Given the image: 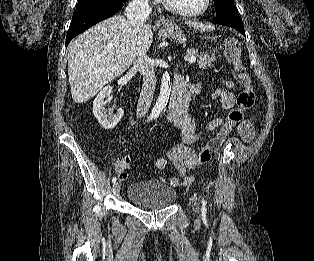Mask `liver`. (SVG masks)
<instances>
[{
    "label": "liver",
    "mask_w": 314,
    "mask_h": 261,
    "mask_svg": "<svg viewBox=\"0 0 314 261\" xmlns=\"http://www.w3.org/2000/svg\"><path fill=\"white\" fill-rule=\"evenodd\" d=\"M152 42L151 25H144L139 33H134L128 18L121 15L85 31L68 50L72 99L76 103L89 100L132 65L135 51L146 53Z\"/></svg>",
    "instance_id": "obj_1"
}]
</instances>
